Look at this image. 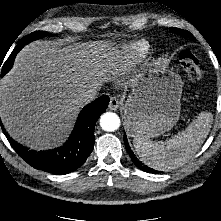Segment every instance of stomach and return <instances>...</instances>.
Here are the masks:
<instances>
[{"mask_svg":"<svg viewBox=\"0 0 221 221\" xmlns=\"http://www.w3.org/2000/svg\"><path fill=\"white\" fill-rule=\"evenodd\" d=\"M182 82L159 64L139 74L125 107V125L133 137L150 139L171 130L181 114Z\"/></svg>","mask_w":221,"mask_h":221,"instance_id":"stomach-1","label":"stomach"}]
</instances>
